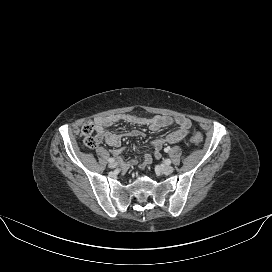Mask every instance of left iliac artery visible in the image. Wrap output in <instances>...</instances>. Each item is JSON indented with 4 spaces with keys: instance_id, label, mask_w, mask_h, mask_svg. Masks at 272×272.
Listing matches in <instances>:
<instances>
[{
    "instance_id": "44dca946",
    "label": "left iliac artery",
    "mask_w": 272,
    "mask_h": 272,
    "mask_svg": "<svg viewBox=\"0 0 272 272\" xmlns=\"http://www.w3.org/2000/svg\"><path fill=\"white\" fill-rule=\"evenodd\" d=\"M169 151V149L168 148H165V152H168ZM164 163L166 164V165H170L171 164V160L170 159H166L165 161H164Z\"/></svg>"
}]
</instances>
